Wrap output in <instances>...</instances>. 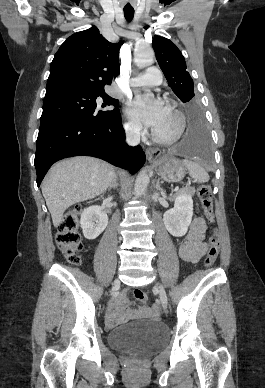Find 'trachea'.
<instances>
[{"mask_svg":"<svg viewBox=\"0 0 265 388\" xmlns=\"http://www.w3.org/2000/svg\"><path fill=\"white\" fill-rule=\"evenodd\" d=\"M124 16L127 21H131L134 17V10H124Z\"/></svg>","mask_w":265,"mask_h":388,"instance_id":"obj_1","label":"trachea"}]
</instances>
